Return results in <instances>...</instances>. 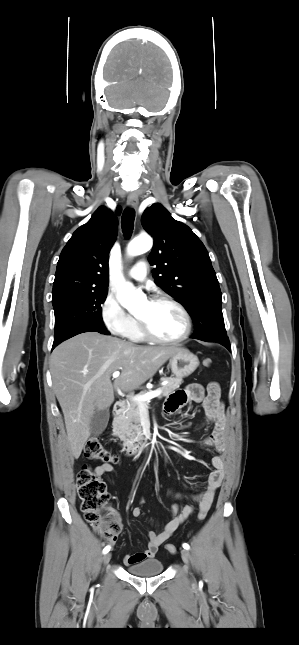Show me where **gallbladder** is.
I'll return each instance as SVG.
<instances>
[{
	"instance_id": "bac80fb5",
	"label": "gallbladder",
	"mask_w": 299,
	"mask_h": 645,
	"mask_svg": "<svg viewBox=\"0 0 299 645\" xmlns=\"http://www.w3.org/2000/svg\"><path fill=\"white\" fill-rule=\"evenodd\" d=\"M110 417L109 409L96 410L90 423L91 435H100L107 427Z\"/></svg>"
}]
</instances>
